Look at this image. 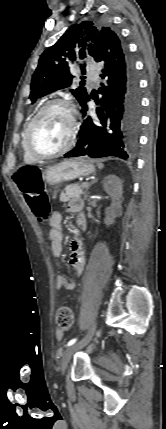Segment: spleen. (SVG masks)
Segmentation results:
<instances>
[{"label": "spleen", "mask_w": 166, "mask_h": 429, "mask_svg": "<svg viewBox=\"0 0 166 429\" xmlns=\"http://www.w3.org/2000/svg\"><path fill=\"white\" fill-rule=\"evenodd\" d=\"M103 164L102 163H98V167L100 168V169H102L103 168Z\"/></svg>", "instance_id": "obj_1"}]
</instances>
